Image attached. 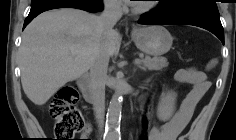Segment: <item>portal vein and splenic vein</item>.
<instances>
[{"mask_svg": "<svg viewBox=\"0 0 236 140\" xmlns=\"http://www.w3.org/2000/svg\"><path fill=\"white\" fill-rule=\"evenodd\" d=\"M134 64H137V65H138V64H141V60H140V59H135V60H134Z\"/></svg>", "mask_w": 236, "mask_h": 140, "instance_id": "18ae733b", "label": "portal vein and splenic vein"}]
</instances>
